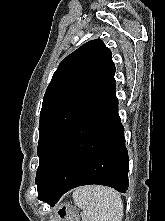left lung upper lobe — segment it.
Masks as SVG:
<instances>
[{
  "mask_svg": "<svg viewBox=\"0 0 165 221\" xmlns=\"http://www.w3.org/2000/svg\"><path fill=\"white\" fill-rule=\"evenodd\" d=\"M115 71L112 53L100 39L85 43L62 60L40 112L36 183L63 136L114 85Z\"/></svg>",
  "mask_w": 165,
  "mask_h": 221,
  "instance_id": "5c2ea615",
  "label": "left lung upper lobe"
}]
</instances>
